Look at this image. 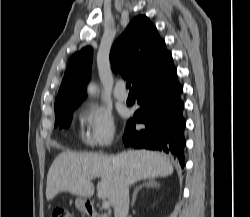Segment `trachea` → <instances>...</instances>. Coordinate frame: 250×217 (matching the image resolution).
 <instances>
[{"label":"trachea","mask_w":250,"mask_h":217,"mask_svg":"<svg viewBox=\"0 0 250 217\" xmlns=\"http://www.w3.org/2000/svg\"><path fill=\"white\" fill-rule=\"evenodd\" d=\"M126 88H129L130 91H133L132 88H131V83H130V82H127V83H126Z\"/></svg>","instance_id":"1"}]
</instances>
